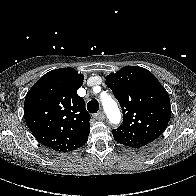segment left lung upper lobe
Listing matches in <instances>:
<instances>
[{
    "label": "left lung upper lobe",
    "mask_w": 196,
    "mask_h": 196,
    "mask_svg": "<svg viewBox=\"0 0 196 196\" xmlns=\"http://www.w3.org/2000/svg\"><path fill=\"white\" fill-rule=\"evenodd\" d=\"M105 83L123 110L122 125L112 130L118 143L138 149L164 132L171 117L170 99L150 71L126 66L106 76Z\"/></svg>",
    "instance_id": "5c2ea615"
}]
</instances>
